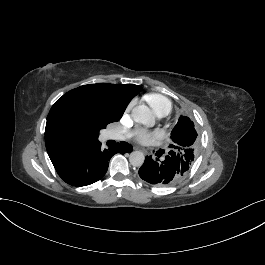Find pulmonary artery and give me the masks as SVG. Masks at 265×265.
<instances>
[{
  "label": "pulmonary artery",
  "instance_id": "1",
  "mask_svg": "<svg viewBox=\"0 0 265 265\" xmlns=\"http://www.w3.org/2000/svg\"><path fill=\"white\" fill-rule=\"evenodd\" d=\"M142 134V131L139 129V128H136L134 131H131L129 134H128V137L131 139V140H134L136 137H139L140 135ZM110 136L112 138H116L118 140H123L125 139V135L123 134H120L114 130H111L110 131Z\"/></svg>",
  "mask_w": 265,
  "mask_h": 265
}]
</instances>
